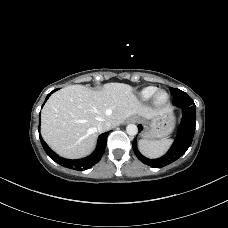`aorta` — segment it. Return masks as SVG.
Instances as JSON below:
<instances>
[{"instance_id":"obj_1","label":"aorta","mask_w":228,"mask_h":228,"mask_svg":"<svg viewBox=\"0 0 228 228\" xmlns=\"http://www.w3.org/2000/svg\"><path fill=\"white\" fill-rule=\"evenodd\" d=\"M126 132H127L128 135L134 136V135L137 134L138 128H137V126L135 124H129L126 127Z\"/></svg>"}]
</instances>
